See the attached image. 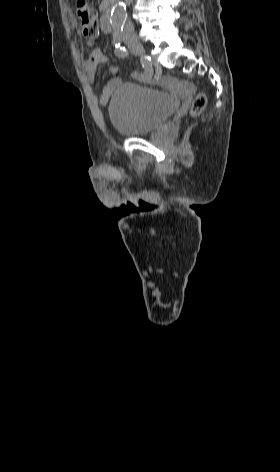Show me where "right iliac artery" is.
I'll use <instances>...</instances> for the list:
<instances>
[{"mask_svg":"<svg viewBox=\"0 0 280 472\" xmlns=\"http://www.w3.org/2000/svg\"><path fill=\"white\" fill-rule=\"evenodd\" d=\"M115 54L120 58H124L129 53L126 50L125 47L116 46ZM140 62H141V65H142L144 71L138 75V78L142 81H145V82L152 81L153 80L152 79L153 67H152V63H151L150 58L149 57H141Z\"/></svg>","mask_w":280,"mask_h":472,"instance_id":"obj_1","label":"right iliac artery"}]
</instances>
